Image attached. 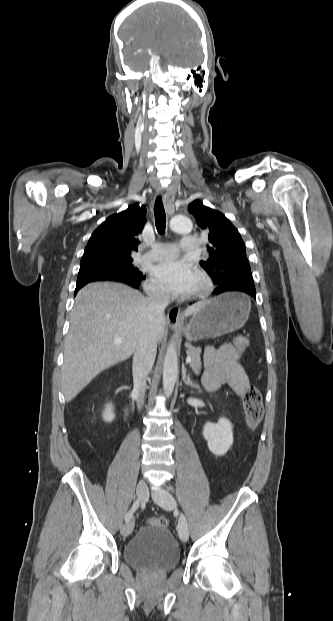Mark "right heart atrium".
Instances as JSON below:
<instances>
[{"label": "right heart atrium", "instance_id": "right-heart-atrium-1", "mask_svg": "<svg viewBox=\"0 0 333 621\" xmlns=\"http://www.w3.org/2000/svg\"><path fill=\"white\" fill-rule=\"evenodd\" d=\"M145 289L149 295L155 298L164 299L167 297V292L153 280L146 282Z\"/></svg>", "mask_w": 333, "mask_h": 621}]
</instances>
